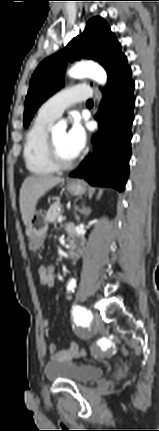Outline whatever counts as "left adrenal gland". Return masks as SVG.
<instances>
[{
    "label": "left adrenal gland",
    "instance_id": "left-adrenal-gland-1",
    "mask_svg": "<svg viewBox=\"0 0 159 431\" xmlns=\"http://www.w3.org/2000/svg\"><path fill=\"white\" fill-rule=\"evenodd\" d=\"M87 209L85 208V207H83L82 208V210H80V212H85ZM76 219H77V221H79L80 220V217L79 216H76Z\"/></svg>",
    "mask_w": 159,
    "mask_h": 431
}]
</instances>
